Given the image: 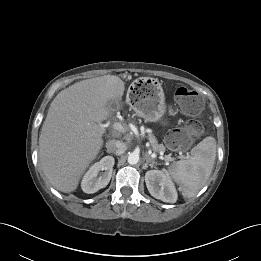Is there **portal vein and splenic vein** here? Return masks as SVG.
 <instances>
[{
    "instance_id": "portal-vein-and-splenic-vein-1",
    "label": "portal vein and splenic vein",
    "mask_w": 261,
    "mask_h": 261,
    "mask_svg": "<svg viewBox=\"0 0 261 261\" xmlns=\"http://www.w3.org/2000/svg\"><path fill=\"white\" fill-rule=\"evenodd\" d=\"M101 126H102V125H101ZM102 127H103V126H102ZM113 129H115V130H117V131H119V132H124V131H125V128H124L123 125H122L121 123H119V122L113 123ZM151 156H152L153 158H155V157H156V154H155V153H152ZM167 157L170 158L169 155H167Z\"/></svg>"
}]
</instances>
